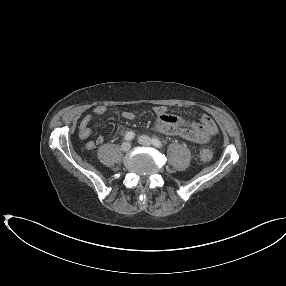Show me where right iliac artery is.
<instances>
[{
    "instance_id": "right-iliac-artery-1",
    "label": "right iliac artery",
    "mask_w": 286,
    "mask_h": 286,
    "mask_svg": "<svg viewBox=\"0 0 286 286\" xmlns=\"http://www.w3.org/2000/svg\"><path fill=\"white\" fill-rule=\"evenodd\" d=\"M134 137H135V133H134L133 131H129V132H127L126 135H125V139H126L127 141L133 140Z\"/></svg>"
}]
</instances>
